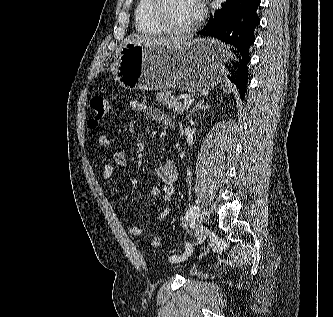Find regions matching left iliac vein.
I'll return each instance as SVG.
<instances>
[{"label": "left iliac vein", "instance_id": "left-iliac-vein-1", "mask_svg": "<svg viewBox=\"0 0 333 317\" xmlns=\"http://www.w3.org/2000/svg\"><path fill=\"white\" fill-rule=\"evenodd\" d=\"M196 241L197 243L202 242L206 237L209 235V229L204 224L200 223L198 224L196 228Z\"/></svg>", "mask_w": 333, "mask_h": 317}]
</instances>
